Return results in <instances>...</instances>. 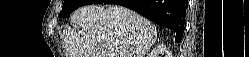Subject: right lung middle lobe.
<instances>
[{
  "mask_svg": "<svg viewBox=\"0 0 249 57\" xmlns=\"http://www.w3.org/2000/svg\"><path fill=\"white\" fill-rule=\"evenodd\" d=\"M92 2V0H64L62 11L60 12V17H67L80 6L87 5Z\"/></svg>",
  "mask_w": 249,
  "mask_h": 57,
  "instance_id": "dd1d6c3e",
  "label": "right lung middle lobe"
}]
</instances>
